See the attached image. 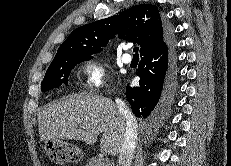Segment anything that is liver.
Here are the masks:
<instances>
[{
	"instance_id": "obj_1",
	"label": "liver",
	"mask_w": 231,
	"mask_h": 166,
	"mask_svg": "<svg viewBox=\"0 0 231 166\" xmlns=\"http://www.w3.org/2000/svg\"><path fill=\"white\" fill-rule=\"evenodd\" d=\"M38 126L41 141L74 139L93 145L103 133L101 149L116 156L124 140L126 121L110 99L80 93L46 105L38 113Z\"/></svg>"
}]
</instances>
